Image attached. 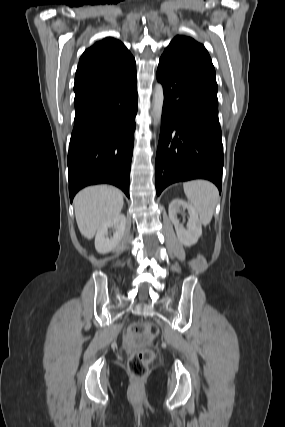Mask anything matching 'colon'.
<instances>
[{
  "instance_id": "5ec220e1",
  "label": "colon",
  "mask_w": 285,
  "mask_h": 427,
  "mask_svg": "<svg viewBox=\"0 0 285 427\" xmlns=\"http://www.w3.org/2000/svg\"><path fill=\"white\" fill-rule=\"evenodd\" d=\"M158 334V327L150 321H142L132 324L127 330V341L132 344L135 338H139L144 345L150 344ZM154 351L144 347L134 351L128 360L130 375L141 380L148 373V365L154 358Z\"/></svg>"
}]
</instances>
